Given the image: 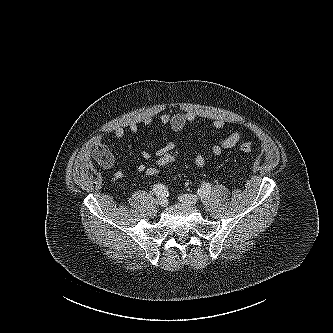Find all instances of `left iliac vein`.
<instances>
[{
    "mask_svg": "<svg viewBox=\"0 0 333 333\" xmlns=\"http://www.w3.org/2000/svg\"><path fill=\"white\" fill-rule=\"evenodd\" d=\"M178 199L181 203L186 205L194 206L198 203V197L192 194H182Z\"/></svg>",
    "mask_w": 333,
    "mask_h": 333,
    "instance_id": "obj_1",
    "label": "left iliac vein"
}]
</instances>
